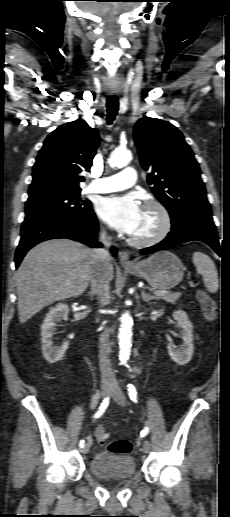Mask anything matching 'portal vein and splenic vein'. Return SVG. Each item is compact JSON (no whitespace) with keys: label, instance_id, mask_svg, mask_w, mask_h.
<instances>
[{"label":"portal vein and splenic vein","instance_id":"portal-vein-and-splenic-vein-1","mask_svg":"<svg viewBox=\"0 0 230 517\" xmlns=\"http://www.w3.org/2000/svg\"><path fill=\"white\" fill-rule=\"evenodd\" d=\"M153 293L155 295H162V294L166 293V291H154Z\"/></svg>","mask_w":230,"mask_h":517}]
</instances>
